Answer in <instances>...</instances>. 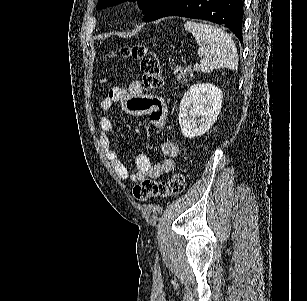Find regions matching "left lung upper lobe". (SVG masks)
<instances>
[{"mask_svg":"<svg viewBox=\"0 0 307 301\" xmlns=\"http://www.w3.org/2000/svg\"><path fill=\"white\" fill-rule=\"evenodd\" d=\"M127 0H98L97 9H103L108 6L116 5ZM135 1V0H129ZM141 3V9L145 13V22L156 20L161 13L176 0H137Z\"/></svg>","mask_w":307,"mask_h":301,"instance_id":"5c2ea615","label":"left lung upper lobe"}]
</instances>
